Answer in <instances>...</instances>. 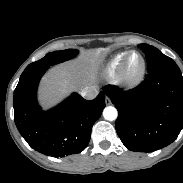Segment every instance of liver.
<instances>
[{"instance_id":"obj_1","label":"liver","mask_w":183,"mask_h":183,"mask_svg":"<svg viewBox=\"0 0 183 183\" xmlns=\"http://www.w3.org/2000/svg\"><path fill=\"white\" fill-rule=\"evenodd\" d=\"M101 50L84 51L78 61L68 62L49 72L40 85L39 98L48 108L62 100L70 91L88 87L102 63Z\"/></svg>"}]
</instances>
